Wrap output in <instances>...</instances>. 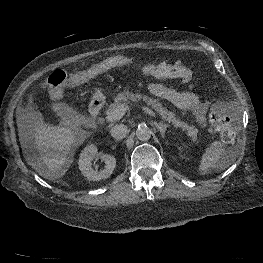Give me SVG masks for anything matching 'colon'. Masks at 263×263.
I'll return each instance as SVG.
<instances>
[{"instance_id": "colon-1", "label": "colon", "mask_w": 263, "mask_h": 263, "mask_svg": "<svg viewBox=\"0 0 263 263\" xmlns=\"http://www.w3.org/2000/svg\"><path fill=\"white\" fill-rule=\"evenodd\" d=\"M120 67H134L142 74L156 78H179L186 82L193 79L192 71L178 62L142 64L127 56L116 55L73 73H68L62 69L55 70L48 80L51 94L58 99L66 88L85 83L108 70ZM211 121L213 129L219 134L223 142L232 143L235 140L236 133L232 121L222 109L213 110Z\"/></svg>"}]
</instances>
